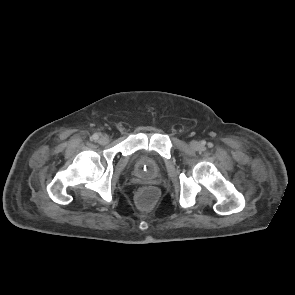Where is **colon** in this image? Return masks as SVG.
I'll return each mask as SVG.
<instances>
[{
  "mask_svg": "<svg viewBox=\"0 0 295 295\" xmlns=\"http://www.w3.org/2000/svg\"><path fill=\"white\" fill-rule=\"evenodd\" d=\"M158 190L153 186H143L136 192V200L142 207H149L157 200Z\"/></svg>",
  "mask_w": 295,
  "mask_h": 295,
  "instance_id": "obj_1",
  "label": "colon"
}]
</instances>
